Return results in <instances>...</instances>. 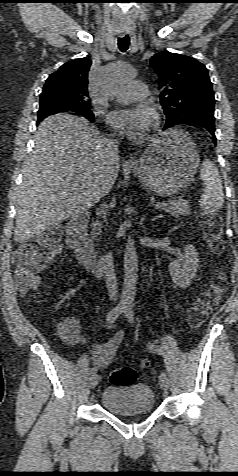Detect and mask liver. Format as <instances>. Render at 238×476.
<instances>
[{
  "label": "liver",
  "mask_w": 238,
  "mask_h": 476,
  "mask_svg": "<svg viewBox=\"0 0 238 476\" xmlns=\"http://www.w3.org/2000/svg\"><path fill=\"white\" fill-rule=\"evenodd\" d=\"M102 142L83 117L56 114L40 123L17 195L16 242L85 213L110 191L119 161L106 159Z\"/></svg>",
  "instance_id": "liver-1"
}]
</instances>
